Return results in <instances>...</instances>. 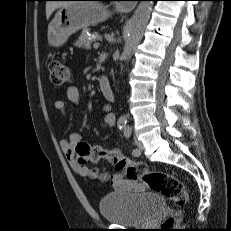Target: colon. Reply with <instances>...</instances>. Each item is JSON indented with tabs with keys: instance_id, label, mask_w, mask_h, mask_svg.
Returning a JSON list of instances; mask_svg holds the SVG:
<instances>
[{
	"instance_id": "5ec220e1",
	"label": "colon",
	"mask_w": 231,
	"mask_h": 231,
	"mask_svg": "<svg viewBox=\"0 0 231 231\" xmlns=\"http://www.w3.org/2000/svg\"><path fill=\"white\" fill-rule=\"evenodd\" d=\"M50 69L51 81L55 86L63 87L71 83V71L63 62L52 61ZM75 150L80 163L107 161L113 164L117 171L122 172L127 180H141L150 190L162 194L178 207L183 206L188 200L186 188L177 177L167 172L150 170L143 162H132L118 149H104L78 142ZM93 176L101 180L107 178V175L101 172H94ZM181 219V212L175 210L164 223L163 230H175Z\"/></svg>"
}]
</instances>
